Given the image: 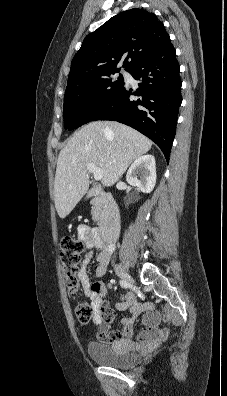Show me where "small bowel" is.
<instances>
[{
  "mask_svg": "<svg viewBox=\"0 0 227 396\" xmlns=\"http://www.w3.org/2000/svg\"><path fill=\"white\" fill-rule=\"evenodd\" d=\"M78 237L85 241L88 249L101 248L96 256L94 265V274L96 277H102L106 271L110 256L114 250L113 246L103 247L96 238L97 231L89 226L81 225L77 230ZM92 256L90 252L83 262L77 277L82 285L84 294L90 299L92 306L95 308L93 323L97 328V338L107 343H117L124 341H136L144 348H152L164 341L169 335L168 328H159L160 313L153 308L149 302L140 303L134 295L127 294L116 303V309L120 311L128 310L129 314L121 319V327L117 330H111V324L116 319L115 311L110 305L104 302L107 295V287L101 281L91 283L87 265ZM143 315V324L145 330L137 333L134 328L135 320Z\"/></svg>",
  "mask_w": 227,
  "mask_h": 396,
  "instance_id": "1",
  "label": "small bowel"
}]
</instances>
